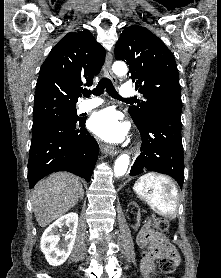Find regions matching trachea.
<instances>
[{"label": "trachea", "mask_w": 221, "mask_h": 278, "mask_svg": "<svg viewBox=\"0 0 221 278\" xmlns=\"http://www.w3.org/2000/svg\"><path fill=\"white\" fill-rule=\"evenodd\" d=\"M104 89H106L107 93L115 98V99H119L122 101H133L135 99H123L122 97L119 96V94L117 93V91L115 90L112 82L110 79L103 77L100 79V81L98 82V85L96 86V88H94L92 91L91 90H84L83 91V95L85 97H90L91 94L95 95V96H100Z\"/></svg>", "instance_id": "obj_1"}]
</instances>
